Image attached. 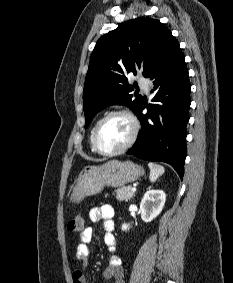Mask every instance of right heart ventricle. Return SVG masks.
<instances>
[{"instance_id": "obj_1", "label": "right heart ventricle", "mask_w": 233, "mask_h": 283, "mask_svg": "<svg viewBox=\"0 0 233 283\" xmlns=\"http://www.w3.org/2000/svg\"><path fill=\"white\" fill-rule=\"evenodd\" d=\"M100 119H101V118H98V119L94 122V124H93V126H92V128H91V130H90L89 142H90L91 151H92L93 153H96V151H95L94 148H93V144H92L93 132H94V129H95V127H96V125H97V123L99 122Z\"/></svg>"}]
</instances>
